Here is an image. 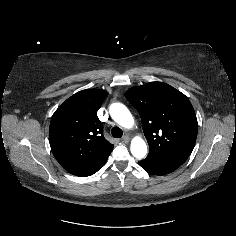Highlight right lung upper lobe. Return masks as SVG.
Instances as JSON below:
<instances>
[{"label": "right lung upper lobe", "instance_id": "cb5924a9", "mask_svg": "<svg viewBox=\"0 0 236 236\" xmlns=\"http://www.w3.org/2000/svg\"><path fill=\"white\" fill-rule=\"evenodd\" d=\"M108 93L82 90L68 98L53 114L49 142L54 157L69 173L85 177L106 162L114 145L103 136L97 109Z\"/></svg>", "mask_w": 236, "mask_h": 236}]
</instances>
